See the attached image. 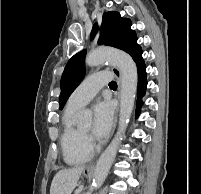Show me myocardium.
Here are the masks:
<instances>
[{
    "label": "myocardium",
    "mask_w": 201,
    "mask_h": 194,
    "mask_svg": "<svg viewBox=\"0 0 201 194\" xmlns=\"http://www.w3.org/2000/svg\"><path fill=\"white\" fill-rule=\"evenodd\" d=\"M82 132H83V134H84L85 136L87 135V132H86V131L82 130Z\"/></svg>",
    "instance_id": "obj_1"
}]
</instances>
